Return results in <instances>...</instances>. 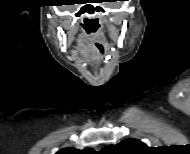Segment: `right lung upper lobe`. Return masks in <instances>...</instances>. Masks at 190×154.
Wrapping results in <instances>:
<instances>
[{"label":"right lung upper lobe","instance_id":"obj_1","mask_svg":"<svg viewBox=\"0 0 190 154\" xmlns=\"http://www.w3.org/2000/svg\"><path fill=\"white\" fill-rule=\"evenodd\" d=\"M83 151L85 152H91L92 149H84ZM80 151L77 150V149H74V148H66V149H62V150H59L56 154H78Z\"/></svg>","mask_w":190,"mask_h":154}]
</instances>
